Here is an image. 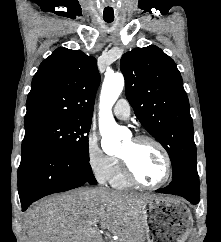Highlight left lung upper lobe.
Wrapping results in <instances>:
<instances>
[{
	"instance_id": "left-lung-upper-lobe-1",
	"label": "left lung upper lobe",
	"mask_w": 221,
	"mask_h": 242,
	"mask_svg": "<svg viewBox=\"0 0 221 242\" xmlns=\"http://www.w3.org/2000/svg\"><path fill=\"white\" fill-rule=\"evenodd\" d=\"M121 71L136 117L170 156L172 178L197 166L189 100L174 61L150 45L125 53Z\"/></svg>"
}]
</instances>
